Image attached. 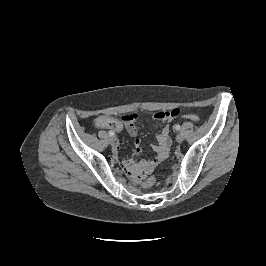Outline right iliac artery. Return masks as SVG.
<instances>
[{
  "mask_svg": "<svg viewBox=\"0 0 266 266\" xmlns=\"http://www.w3.org/2000/svg\"><path fill=\"white\" fill-rule=\"evenodd\" d=\"M108 134H109L110 136H114V135H115V133H114L112 130L109 131Z\"/></svg>",
  "mask_w": 266,
  "mask_h": 266,
  "instance_id": "obj_1",
  "label": "right iliac artery"
}]
</instances>
